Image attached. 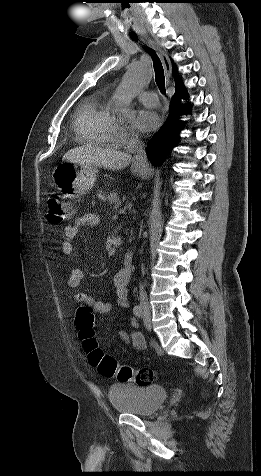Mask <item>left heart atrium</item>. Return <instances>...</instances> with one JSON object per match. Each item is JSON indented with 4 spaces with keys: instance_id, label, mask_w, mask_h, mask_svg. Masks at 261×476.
<instances>
[{
    "instance_id": "obj_1",
    "label": "left heart atrium",
    "mask_w": 261,
    "mask_h": 476,
    "mask_svg": "<svg viewBox=\"0 0 261 476\" xmlns=\"http://www.w3.org/2000/svg\"><path fill=\"white\" fill-rule=\"evenodd\" d=\"M133 126L142 132H150L159 125V116L151 110H138L132 118Z\"/></svg>"
}]
</instances>
